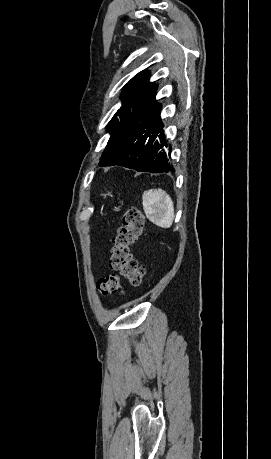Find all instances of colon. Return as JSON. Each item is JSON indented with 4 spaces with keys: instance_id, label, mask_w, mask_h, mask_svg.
I'll return each mask as SVG.
<instances>
[{
    "instance_id": "1",
    "label": "colon",
    "mask_w": 271,
    "mask_h": 459,
    "mask_svg": "<svg viewBox=\"0 0 271 459\" xmlns=\"http://www.w3.org/2000/svg\"><path fill=\"white\" fill-rule=\"evenodd\" d=\"M145 230V218L137 208L125 211L122 225L113 238L110 268L119 272L132 286H141L146 274L145 267L132 255L131 248L138 242ZM100 294H123L119 277L115 274L107 275L97 282Z\"/></svg>"
}]
</instances>
